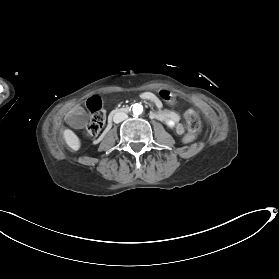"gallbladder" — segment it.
Returning <instances> with one entry per match:
<instances>
[{
	"mask_svg": "<svg viewBox=\"0 0 279 279\" xmlns=\"http://www.w3.org/2000/svg\"><path fill=\"white\" fill-rule=\"evenodd\" d=\"M70 120L74 127H81L88 123V116L85 113L74 111L70 115Z\"/></svg>",
	"mask_w": 279,
	"mask_h": 279,
	"instance_id": "bac80fb5",
	"label": "gallbladder"
}]
</instances>
